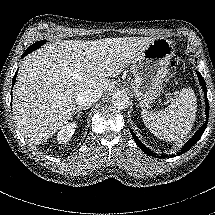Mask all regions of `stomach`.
Masks as SVG:
<instances>
[{
    "label": "stomach",
    "mask_w": 215,
    "mask_h": 215,
    "mask_svg": "<svg viewBox=\"0 0 215 215\" xmlns=\"http://www.w3.org/2000/svg\"><path fill=\"white\" fill-rule=\"evenodd\" d=\"M173 55L171 42L166 38L155 39L130 65L133 79L130 89L139 106L147 108L164 90V80Z\"/></svg>",
    "instance_id": "stomach-1"
}]
</instances>
